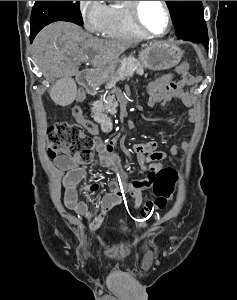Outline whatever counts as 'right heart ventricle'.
Masks as SVG:
<instances>
[{"label": "right heart ventricle", "mask_w": 237, "mask_h": 300, "mask_svg": "<svg viewBox=\"0 0 237 300\" xmlns=\"http://www.w3.org/2000/svg\"><path fill=\"white\" fill-rule=\"evenodd\" d=\"M131 1H118L108 7V24L105 33L110 36H143L135 25L131 11Z\"/></svg>", "instance_id": "e07e8e85"}]
</instances>
